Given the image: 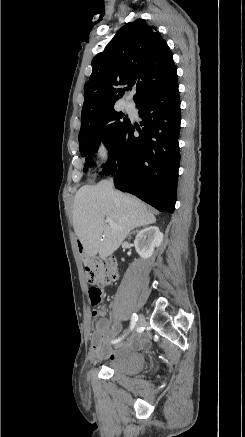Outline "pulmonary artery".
I'll return each mask as SVG.
<instances>
[{"instance_id":"obj_1","label":"pulmonary artery","mask_w":245,"mask_h":437,"mask_svg":"<svg viewBox=\"0 0 245 437\" xmlns=\"http://www.w3.org/2000/svg\"><path fill=\"white\" fill-rule=\"evenodd\" d=\"M124 108H125L126 110H131V109H132V104H131V103H125V104H124Z\"/></svg>"}]
</instances>
